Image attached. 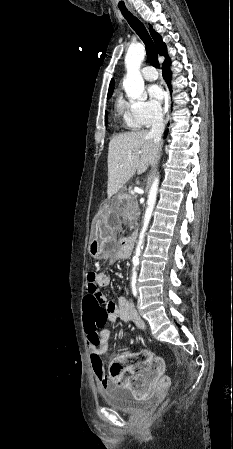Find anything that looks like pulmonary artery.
Instances as JSON below:
<instances>
[{
	"mask_svg": "<svg viewBox=\"0 0 233 449\" xmlns=\"http://www.w3.org/2000/svg\"><path fill=\"white\" fill-rule=\"evenodd\" d=\"M143 78L147 81H154L158 78L156 69L152 66H146L142 69Z\"/></svg>",
	"mask_w": 233,
	"mask_h": 449,
	"instance_id": "pulmonary-artery-1",
	"label": "pulmonary artery"
}]
</instances>
